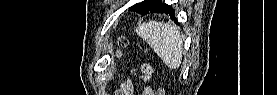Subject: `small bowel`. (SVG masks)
Returning <instances> with one entry per match:
<instances>
[{"label": "small bowel", "mask_w": 277, "mask_h": 95, "mask_svg": "<svg viewBox=\"0 0 277 95\" xmlns=\"http://www.w3.org/2000/svg\"><path fill=\"white\" fill-rule=\"evenodd\" d=\"M116 94L122 95H132L134 94L133 84L129 79L122 81L120 85V90ZM143 95H163V91L160 89H153L151 87H146L142 93Z\"/></svg>", "instance_id": "c3829d8e"}]
</instances>
